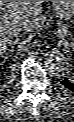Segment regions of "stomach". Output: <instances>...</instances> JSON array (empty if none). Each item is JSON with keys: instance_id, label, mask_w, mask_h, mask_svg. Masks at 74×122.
Here are the masks:
<instances>
[{"instance_id": "1", "label": "stomach", "mask_w": 74, "mask_h": 122, "mask_svg": "<svg viewBox=\"0 0 74 122\" xmlns=\"http://www.w3.org/2000/svg\"><path fill=\"white\" fill-rule=\"evenodd\" d=\"M56 14L61 18H70L74 12V1H52Z\"/></svg>"}]
</instances>
